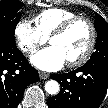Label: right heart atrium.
Masks as SVG:
<instances>
[{"label":"right heart atrium","instance_id":"1","mask_svg":"<svg viewBox=\"0 0 108 108\" xmlns=\"http://www.w3.org/2000/svg\"><path fill=\"white\" fill-rule=\"evenodd\" d=\"M14 37L18 48L29 55L35 53L46 42V38L26 19L16 24Z\"/></svg>","mask_w":108,"mask_h":108}]
</instances>
